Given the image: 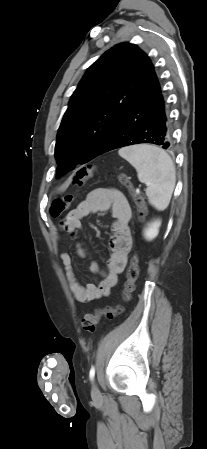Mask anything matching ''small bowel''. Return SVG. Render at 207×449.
Wrapping results in <instances>:
<instances>
[{
    "label": "small bowel",
    "mask_w": 207,
    "mask_h": 449,
    "mask_svg": "<svg viewBox=\"0 0 207 449\" xmlns=\"http://www.w3.org/2000/svg\"><path fill=\"white\" fill-rule=\"evenodd\" d=\"M111 209L112 237L110 239L109 257L105 268L100 271L101 278L97 283H89L82 286L74 271L73 261L67 252L60 254L68 278L69 287L74 296L80 302H90L109 294L117 282L119 275L124 270L130 250L132 248V236L130 221L132 210L125 196L118 190L112 188H98L88 193L79 205L71 210L62 222V229L71 237L76 238L82 227V220L94 212H104ZM79 257L86 255L85 248L81 242L76 243ZM91 270L99 272L97 265L92 264Z\"/></svg>",
    "instance_id": "1"
}]
</instances>
